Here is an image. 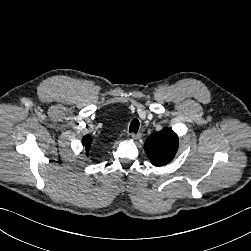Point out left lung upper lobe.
I'll use <instances>...</instances> for the list:
<instances>
[{
  "instance_id": "1",
  "label": "left lung upper lobe",
  "mask_w": 251,
  "mask_h": 251,
  "mask_svg": "<svg viewBox=\"0 0 251 251\" xmlns=\"http://www.w3.org/2000/svg\"><path fill=\"white\" fill-rule=\"evenodd\" d=\"M144 150L154 166H163L172 161L178 150V136L170 128L155 132L145 141Z\"/></svg>"
}]
</instances>
